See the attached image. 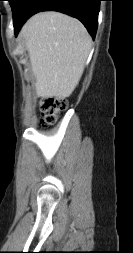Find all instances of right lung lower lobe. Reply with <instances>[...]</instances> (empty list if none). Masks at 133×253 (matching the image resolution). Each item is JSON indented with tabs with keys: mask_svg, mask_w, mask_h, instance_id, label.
Returning <instances> with one entry per match:
<instances>
[{
	"mask_svg": "<svg viewBox=\"0 0 133 253\" xmlns=\"http://www.w3.org/2000/svg\"><path fill=\"white\" fill-rule=\"evenodd\" d=\"M102 0H25L18 20L14 23L15 35L25 21L40 11H58L79 19L92 38L98 26V14Z\"/></svg>",
	"mask_w": 133,
	"mask_h": 253,
	"instance_id": "1",
	"label": "right lung lower lobe"
}]
</instances>
